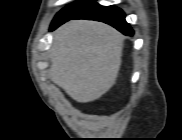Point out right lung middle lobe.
I'll list each match as a JSON object with an SVG mask.
<instances>
[{"label": "right lung middle lobe", "instance_id": "obj_1", "mask_svg": "<svg viewBox=\"0 0 182 140\" xmlns=\"http://www.w3.org/2000/svg\"><path fill=\"white\" fill-rule=\"evenodd\" d=\"M95 0H78L73 2L72 4L68 5L64 9H62L54 18L51 25L57 24L62 22L69 17L77 14L78 12L82 11L89 5H91Z\"/></svg>", "mask_w": 182, "mask_h": 140}]
</instances>
